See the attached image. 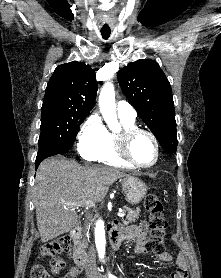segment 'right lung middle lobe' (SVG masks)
<instances>
[{"label":"right lung middle lobe","mask_w":221,"mask_h":278,"mask_svg":"<svg viewBox=\"0 0 221 278\" xmlns=\"http://www.w3.org/2000/svg\"><path fill=\"white\" fill-rule=\"evenodd\" d=\"M87 116L88 114L67 115L62 112H42L37 155L57 147L73 145L80 125Z\"/></svg>","instance_id":"dd1d6c3e"}]
</instances>
